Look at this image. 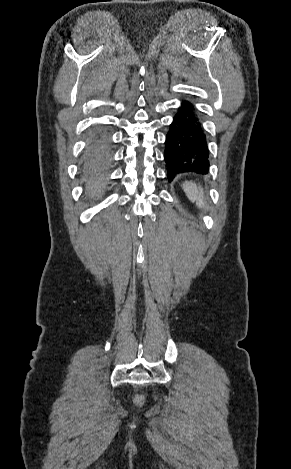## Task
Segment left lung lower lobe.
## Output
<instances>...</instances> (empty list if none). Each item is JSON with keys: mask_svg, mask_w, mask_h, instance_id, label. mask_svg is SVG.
Returning <instances> with one entry per match:
<instances>
[{"mask_svg": "<svg viewBox=\"0 0 291 469\" xmlns=\"http://www.w3.org/2000/svg\"><path fill=\"white\" fill-rule=\"evenodd\" d=\"M164 158L169 180L179 173L206 174L209 170L206 135L194 107L188 101L181 104L170 125Z\"/></svg>", "mask_w": 291, "mask_h": 469, "instance_id": "1", "label": "left lung lower lobe"}]
</instances>
